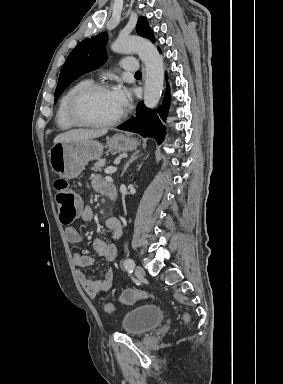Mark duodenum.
I'll return each mask as SVG.
<instances>
[{
	"label": "duodenum",
	"instance_id": "duodenum-1",
	"mask_svg": "<svg viewBox=\"0 0 283 384\" xmlns=\"http://www.w3.org/2000/svg\"><path fill=\"white\" fill-rule=\"evenodd\" d=\"M104 194H106L112 200L117 199V189L115 185L108 183L105 187Z\"/></svg>",
	"mask_w": 283,
	"mask_h": 384
}]
</instances>
